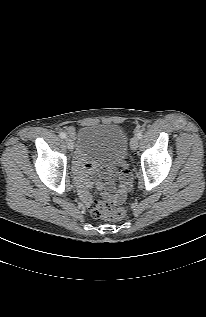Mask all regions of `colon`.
<instances>
[{
  "instance_id": "1",
  "label": "colon",
  "mask_w": 206,
  "mask_h": 317,
  "mask_svg": "<svg viewBox=\"0 0 206 317\" xmlns=\"http://www.w3.org/2000/svg\"><path fill=\"white\" fill-rule=\"evenodd\" d=\"M87 207L95 218H102L110 221L120 220L126 214L123 207H116L111 200L92 199Z\"/></svg>"
}]
</instances>
